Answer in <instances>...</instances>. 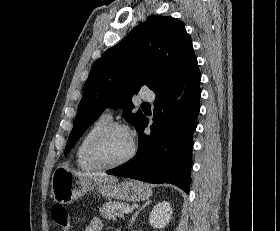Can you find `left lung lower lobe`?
Instances as JSON below:
<instances>
[{"label":"left lung lower lobe","mask_w":280,"mask_h":231,"mask_svg":"<svg viewBox=\"0 0 280 231\" xmlns=\"http://www.w3.org/2000/svg\"><path fill=\"white\" fill-rule=\"evenodd\" d=\"M200 80L197 67L177 82L155 92L150 135L143 133L148 125L143 114L136 125L140 134L136 156L107 171L108 174L148 183H171L189 193L192 136L200 110Z\"/></svg>","instance_id":"0a47b994"}]
</instances>
